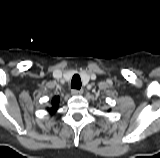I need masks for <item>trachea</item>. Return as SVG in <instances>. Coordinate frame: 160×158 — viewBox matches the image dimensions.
<instances>
[{"label":"trachea","instance_id":"1","mask_svg":"<svg viewBox=\"0 0 160 158\" xmlns=\"http://www.w3.org/2000/svg\"><path fill=\"white\" fill-rule=\"evenodd\" d=\"M81 78L79 75H74L71 80V88L80 89L81 88Z\"/></svg>","mask_w":160,"mask_h":158}]
</instances>
